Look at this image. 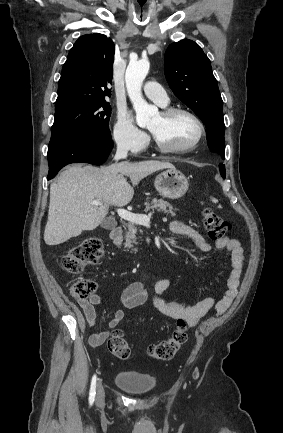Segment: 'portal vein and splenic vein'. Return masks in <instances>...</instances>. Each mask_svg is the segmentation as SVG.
<instances>
[{"label":"portal vein and splenic vein","instance_id":"1","mask_svg":"<svg viewBox=\"0 0 283 433\" xmlns=\"http://www.w3.org/2000/svg\"><path fill=\"white\" fill-rule=\"evenodd\" d=\"M91 204H102V200H93ZM117 212L121 219L130 221V223H137V225H148L152 214V212H149V214H135V212H130V210H124V208H117Z\"/></svg>","mask_w":283,"mask_h":433}]
</instances>
